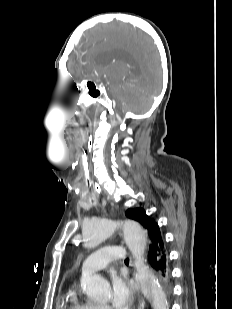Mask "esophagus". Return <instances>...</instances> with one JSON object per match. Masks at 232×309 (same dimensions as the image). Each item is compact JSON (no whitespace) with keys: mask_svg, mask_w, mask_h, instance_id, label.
<instances>
[{"mask_svg":"<svg viewBox=\"0 0 232 309\" xmlns=\"http://www.w3.org/2000/svg\"><path fill=\"white\" fill-rule=\"evenodd\" d=\"M143 308H144V302H143V300H140L138 309H143Z\"/></svg>","mask_w":232,"mask_h":309,"instance_id":"obj_1","label":"esophagus"}]
</instances>
